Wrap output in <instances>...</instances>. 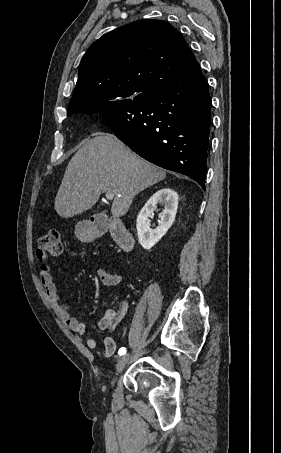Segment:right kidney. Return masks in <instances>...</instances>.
<instances>
[{"label": "right kidney", "mask_w": 281, "mask_h": 453, "mask_svg": "<svg viewBox=\"0 0 281 453\" xmlns=\"http://www.w3.org/2000/svg\"><path fill=\"white\" fill-rule=\"evenodd\" d=\"M178 194L172 188H160L155 194L150 196L143 208H141L137 216V233L140 245L143 249H151L154 247L161 237L166 235L171 224H173L178 208ZM158 202L164 204L162 212H159V227L157 229H150L151 220L148 216L154 214V210L157 208Z\"/></svg>", "instance_id": "1"}]
</instances>
